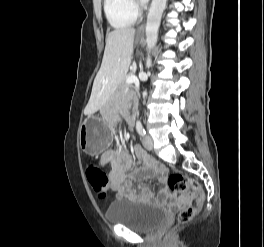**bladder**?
Here are the masks:
<instances>
[{"instance_id":"31cf9c89","label":"bladder","mask_w":264,"mask_h":247,"mask_svg":"<svg viewBox=\"0 0 264 247\" xmlns=\"http://www.w3.org/2000/svg\"><path fill=\"white\" fill-rule=\"evenodd\" d=\"M106 220L111 224H122L132 230L149 233L167 221V213L156 205L125 198L110 203Z\"/></svg>"}]
</instances>
